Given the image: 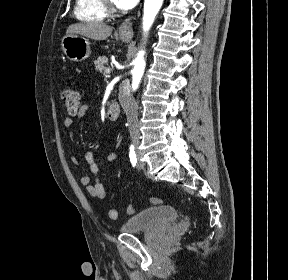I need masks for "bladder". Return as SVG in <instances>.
<instances>
[{"mask_svg": "<svg viewBox=\"0 0 288 280\" xmlns=\"http://www.w3.org/2000/svg\"><path fill=\"white\" fill-rule=\"evenodd\" d=\"M179 218V212L172 206H153L128 218L120 227L126 234L153 232L170 226Z\"/></svg>", "mask_w": 288, "mask_h": 280, "instance_id": "obj_1", "label": "bladder"}]
</instances>
